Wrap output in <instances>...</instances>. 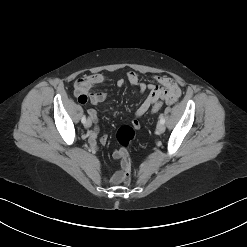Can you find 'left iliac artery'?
<instances>
[{
  "label": "left iliac artery",
  "mask_w": 247,
  "mask_h": 247,
  "mask_svg": "<svg viewBox=\"0 0 247 247\" xmlns=\"http://www.w3.org/2000/svg\"><path fill=\"white\" fill-rule=\"evenodd\" d=\"M160 122L163 123V124L165 123V119H164V117L162 115L160 116Z\"/></svg>",
  "instance_id": "1"
}]
</instances>
